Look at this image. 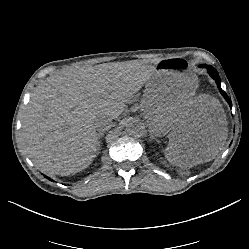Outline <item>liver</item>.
<instances>
[{"label":"liver","instance_id":"6515ba94","mask_svg":"<svg viewBox=\"0 0 249 249\" xmlns=\"http://www.w3.org/2000/svg\"><path fill=\"white\" fill-rule=\"evenodd\" d=\"M154 71L102 64L71 67L41 81L22 116V143L35 167L61 176L87 168L100 146L95 121L118 118ZM140 111L155 136H168L175 157L168 161L177 166L211 161L228 137L224 109L209 95L180 101L152 90L144 93Z\"/></svg>","mask_w":249,"mask_h":249}]
</instances>
